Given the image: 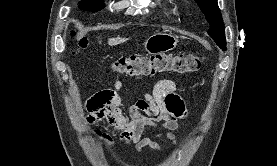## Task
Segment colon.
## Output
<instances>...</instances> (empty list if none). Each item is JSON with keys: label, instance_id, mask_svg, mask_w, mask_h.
Masks as SVG:
<instances>
[{"label": "colon", "instance_id": "5ec220e1", "mask_svg": "<svg viewBox=\"0 0 277 166\" xmlns=\"http://www.w3.org/2000/svg\"><path fill=\"white\" fill-rule=\"evenodd\" d=\"M89 45L86 38L76 41L77 50H85ZM203 58L196 54L171 55H130L120 57L112 62L113 71L130 76H148L161 73L186 74L198 70Z\"/></svg>", "mask_w": 277, "mask_h": 166}]
</instances>
